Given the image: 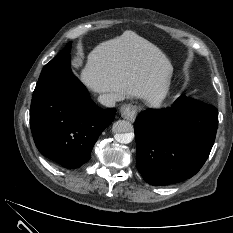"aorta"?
<instances>
[{
  "instance_id": "obj_1",
  "label": "aorta",
  "mask_w": 233,
  "mask_h": 233,
  "mask_svg": "<svg viewBox=\"0 0 233 233\" xmlns=\"http://www.w3.org/2000/svg\"><path fill=\"white\" fill-rule=\"evenodd\" d=\"M112 130L117 142L128 144L133 140V125L126 120H118L113 124Z\"/></svg>"
}]
</instances>
